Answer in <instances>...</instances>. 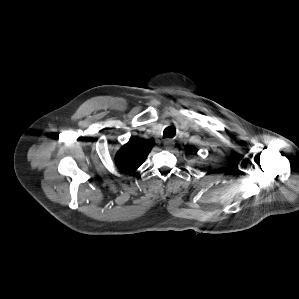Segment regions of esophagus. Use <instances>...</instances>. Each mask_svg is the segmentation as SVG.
I'll return each instance as SVG.
<instances>
[{
    "mask_svg": "<svg viewBox=\"0 0 299 299\" xmlns=\"http://www.w3.org/2000/svg\"><path fill=\"white\" fill-rule=\"evenodd\" d=\"M173 145H174V142L171 139H166L164 142V146L167 150L172 149Z\"/></svg>",
    "mask_w": 299,
    "mask_h": 299,
    "instance_id": "esophagus-1",
    "label": "esophagus"
}]
</instances>
